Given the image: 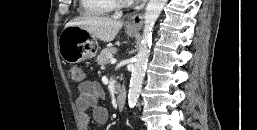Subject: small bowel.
I'll list each match as a JSON object with an SVG mask.
<instances>
[{"label": "small bowel", "instance_id": "c3829d8e", "mask_svg": "<svg viewBox=\"0 0 257 130\" xmlns=\"http://www.w3.org/2000/svg\"><path fill=\"white\" fill-rule=\"evenodd\" d=\"M104 97V91L95 81H84L78 86L76 107L79 112L80 123L84 130L90 129V117L87 113L92 109V114L97 124L103 125L108 121V110L99 105V100Z\"/></svg>", "mask_w": 257, "mask_h": 130}]
</instances>
